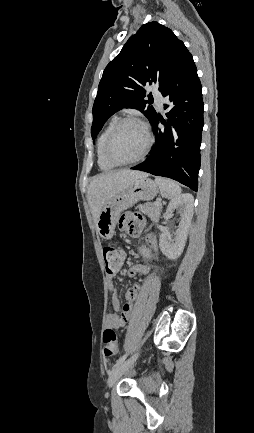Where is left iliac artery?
I'll return each mask as SVG.
<instances>
[{"mask_svg":"<svg viewBox=\"0 0 254 433\" xmlns=\"http://www.w3.org/2000/svg\"><path fill=\"white\" fill-rule=\"evenodd\" d=\"M127 356H128V354L126 353V354H124L122 357H120V358L116 361L115 365L113 366V369H115L119 364H121L123 361H125V359L127 358Z\"/></svg>","mask_w":254,"mask_h":433,"instance_id":"44dca946","label":"left iliac artery"}]
</instances>
